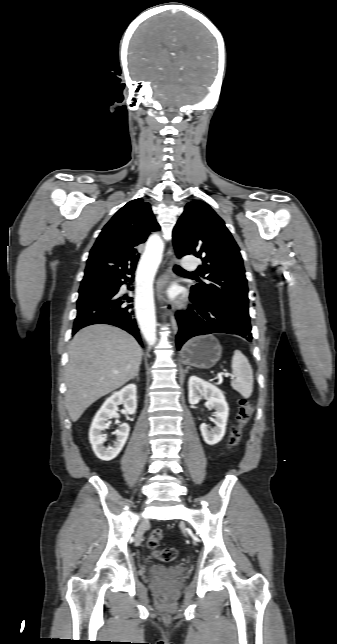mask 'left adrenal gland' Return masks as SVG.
Wrapping results in <instances>:
<instances>
[{"label": "left adrenal gland", "instance_id": "1", "mask_svg": "<svg viewBox=\"0 0 337 644\" xmlns=\"http://www.w3.org/2000/svg\"><path fill=\"white\" fill-rule=\"evenodd\" d=\"M187 372H188V368L184 370V374H186Z\"/></svg>", "mask_w": 337, "mask_h": 644}]
</instances>
